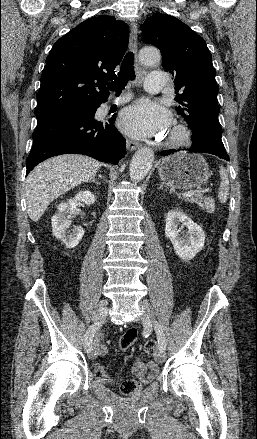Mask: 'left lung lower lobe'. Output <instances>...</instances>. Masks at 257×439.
<instances>
[{"mask_svg":"<svg viewBox=\"0 0 257 439\" xmlns=\"http://www.w3.org/2000/svg\"><path fill=\"white\" fill-rule=\"evenodd\" d=\"M186 151L189 152H201V153H209L215 156H218L219 158L225 159L227 161H229V156L224 148V146L221 145H217L212 141H205L202 144L196 145L192 143V146L189 149H185ZM179 150H166L161 152L162 156H167L170 154H173L175 152H177Z\"/></svg>","mask_w":257,"mask_h":439,"instance_id":"0a47b994","label":"left lung lower lobe"}]
</instances>
